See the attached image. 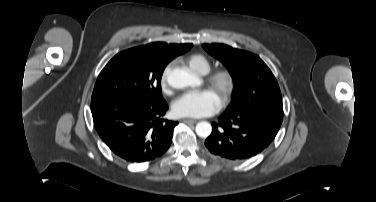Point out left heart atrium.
Instances as JSON below:
<instances>
[{
    "mask_svg": "<svg viewBox=\"0 0 376 202\" xmlns=\"http://www.w3.org/2000/svg\"><path fill=\"white\" fill-rule=\"evenodd\" d=\"M220 108L218 96L209 89L189 91L172 103V113L176 117L199 118L210 116Z\"/></svg>",
    "mask_w": 376,
    "mask_h": 202,
    "instance_id": "39dd6f15",
    "label": "left heart atrium"
}]
</instances>
